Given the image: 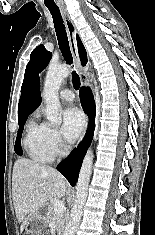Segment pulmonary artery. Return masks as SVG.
I'll return each mask as SVG.
<instances>
[{
  "instance_id": "e3ab8cb5",
  "label": "pulmonary artery",
  "mask_w": 155,
  "mask_h": 235,
  "mask_svg": "<svg viewBox=\"0 0 155 235\" xmlns=\"http://www.w3.org/2000/svg\"><path fill=\"white\" fill-rule=\"evenodd\" d=\"M59 96L62 100L73 101L74 94L70 89H63L60 91Z\"/></svg>"
}]
</instances>
